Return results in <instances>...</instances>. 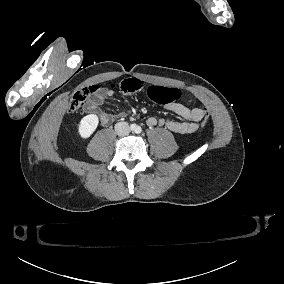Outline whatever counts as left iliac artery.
Listing matches in <instances>:
<instances>
[{"label": "left iliac artery", "instance_id": "44dca946", "mask_svg": "<svg viewBox=\"0 0 284 284\" xmlns=\"http://www.w3.org/2000/svg\"><path fill=\"white\" fill-rule=\"evenodd\" d=\"M142 131L141 127L136 128V133H140Z\"/></svg>", "mask_w": 284, "mask_h": 284}]
</instances>
